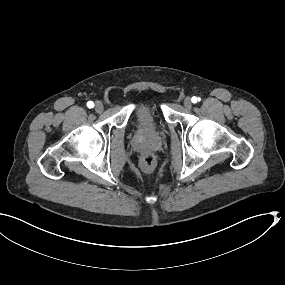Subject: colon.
Listing matches in <instances>:
<instances>
[{
    "label": "colon",
    "mask_w": 285,
    "mask_h": 285,
    "mask_svg": "<svg viewBox=\"0 0 285 285\" xmlns=\"http://www.w3.org/2000/svg\"><path fill=\"white\" fill-rule=\"evenodd\" d=\"M156 165L155 157L151 154H144L140 159V168L142 171L149 173Z\"/></svg>",
    "instance_id": "1"
}]
</instances>
